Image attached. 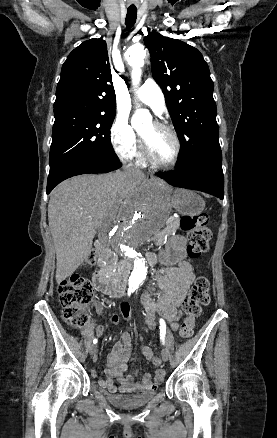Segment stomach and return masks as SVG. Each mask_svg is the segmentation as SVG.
<instances>
[{"label": "stomach", "mask_w": 277, "mask_h": 438, "mask_svg": "<svg viewBox=\"0 0 277 438\" xmlns=\"http://www.w3.org/2000/svg\"><path fill=\"white\" fill-rule=\"evenodd\" d=\"M173 205L182 216H197L205 208L204 200L192 191L177 189L173 197ZM186 241L182 236H172L167 242L161 262L165 265H175L183 258Z\"/></svg>", "instance_id": "1"}]
</instances>
